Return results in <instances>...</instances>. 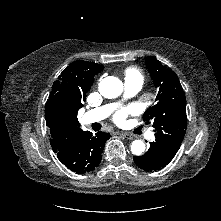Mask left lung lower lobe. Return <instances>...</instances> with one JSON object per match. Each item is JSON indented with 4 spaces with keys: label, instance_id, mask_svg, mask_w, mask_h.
Segmentation results:
<instances>
[{
    "label": "left lung lower lobe",
    "instance_id": "obj_1",
    "mask_svg": "<svg viewBox=\"0 0 221 221\" xmlns=\"http://www.w3.org/2000/svg\"><path fill=\"white\" fill-rule=\"evenodd\" d=\"M181 144L156 138L142 156H134L135 164L145 171H156L168 165L176 155Z\"/></svg>",
    "mask_w": 221,
    "mask_h": 221
}]
</instances>
